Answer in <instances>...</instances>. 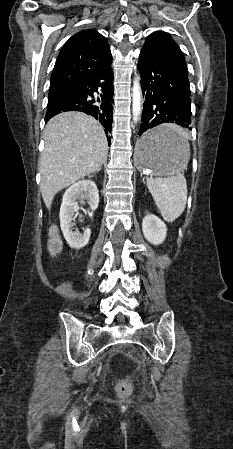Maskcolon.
I'll return each mask as SVG.
<instances>
[{
  "label": "colon",
  "mask_w": 233,
  "mask_h": 449,
  "mask_svg": "<svg viewBox=\"0 0 233 449\" xmlns=\"http://www.w3.org/2000/svg\"><path fill=\"white\" fill-rule=\"evenodd\" d=\"M58 245L59 244L56 239L53 238L50 240L51 250H53V251L57 250ZM116 391L120 397H128L132 394V387H131V384H130L128 378L124 377L118 382V384L116 386Z\"/></svg>",
  "instance_id": "obj_1"
}]
</instances>
